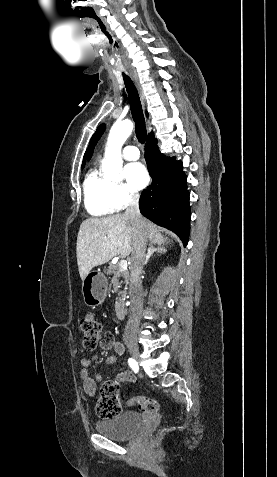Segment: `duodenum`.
<instances>
[{
    "instance_id": "obj_1",
    "label": "duodenum",
    "mask_w": 277,
    "mask_h": 477,
    "mask_svg": "<svg viewBox=\"0 0 277 477\" xmlns=\"http://www.w3.org/2000/svg\"><path fill=\"white\" fill-rule=\"evenodd\" d=\"M115 313L119 319H123L125 317L124 306L121 302H118L115 306Z\"/></svg>"
}]
</instances>
